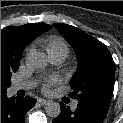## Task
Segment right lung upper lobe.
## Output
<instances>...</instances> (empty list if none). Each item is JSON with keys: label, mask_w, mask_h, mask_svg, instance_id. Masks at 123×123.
I'll return each instance as SVG.
<instances>
[{"label": "right lung upper lobe", "mask_w": 123, "mask_h": 123, "mask_svg": "<svg viewBox=\"0 0 123 123\" xmlns=\"http://www.w3.org/2000/svg\"><path fill=\"white\" fill-rule=\"evenodd\" d=\"M50 28L48 24L33 23L1 29V66L18 69L26 45Z\"/></svg>", "instance_id": "obj_1"}]
</instances>
